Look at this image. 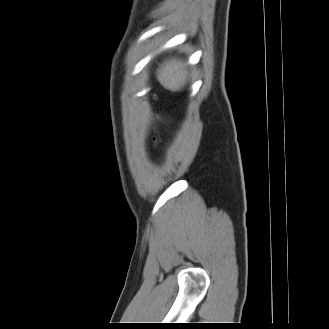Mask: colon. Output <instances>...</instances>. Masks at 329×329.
Wrapping results in <instances>:
<instances>
[{"label":"colon","instance_id":"obj_1","mask_svg":"<svg viewBox=\"0 0 329 329\" xmlns=\"http://www.w3.org/2000/svg\"><path fill=\"white\" fill-rule=\"evenodd\" d=\"M152 141H153V145L154 147L156 148L159 143L161 142V138L159 137L158 134H155L153 137H152Z\"/></svg>","mask_w":329,"mask_h":329}]
</instances>
